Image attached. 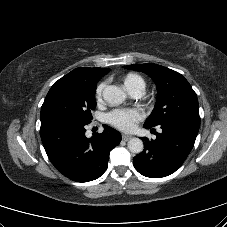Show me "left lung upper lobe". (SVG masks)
I'll use <instances>...</instances> for the list:
<instances>
[{"mask_svg": "<svg viewBox=\"0 0 227 227\" xmlns=\"http://www.w3.org/2000/svg\"><path fill=\"white\" fill-rule=\"evenodd\" d=\"M124 68L146 73L157 86V101L144 123L145 127H154L173 120L200 122L197 95L180 73L152 63Z\"/></svg>", "mask_w": 227, "mask_h": 227, "instance_id": "1", "label": "left lung upper lobe"}]
</instances>
